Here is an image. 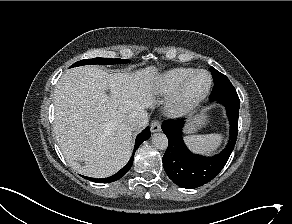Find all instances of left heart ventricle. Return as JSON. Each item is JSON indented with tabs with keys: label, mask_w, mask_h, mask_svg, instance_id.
<instances>
[{
	"label": "left heart ventricle",
	"mask_w": 292,
	"mask_h": 224,
	"mask_svg": "<svg viewBox=\"0 0 292 224\" xmlns=\"http://www.w3.org/2000/svg\"><path fill=\"white\" fill-rule=\"evenodd\" d=\"M209 84V76L206 73L197 74L190 82L187 94L190 97L197 96L203 93Z\"/></svg>",
	"instance_id": "left-heart-ventricle-1"
}]
</instances>
